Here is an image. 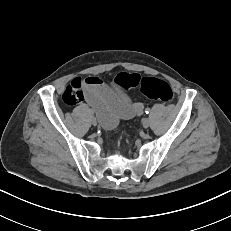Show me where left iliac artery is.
I'll return each mask as SVG.
<instances>
[{
	"label": "left iliac artery",
	"instance_id": "left-iliac-artery-1",
	"mask_svg": "<svg viewBox=\"0 0 231 231\" xmlns=\"http://www.w3.org/2000/svg\"><path fill=\"white\" fill-rule=\"evenodd\" d=\"M145 113H146V114H149V113H150V109H149V108H146V109H145Z\"/></svg>",
	"mask_w": 231,
	"mask_h": 231
}]
</instances>
